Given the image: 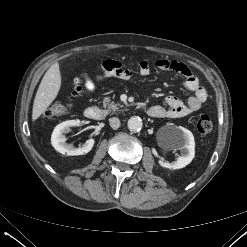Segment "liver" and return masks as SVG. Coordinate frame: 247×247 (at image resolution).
Returning <instances> with one entry per match:
<instances>
[{"instance_id": "obj_1", "label": "liver", "mask_w": 247, "mask_h": 247, "mask_svg": "<svg viewBox=\"0 0 247 247\" xmlns=\"http://www.w3.org/2000/svg\"><path fill=\"white\" fill-rule=\"evenodd\" d=\"M61 87L59 64L54 63L43 76L38 87L32 110V120H37L54 101Z\"/></svg>"}]
</instances>
